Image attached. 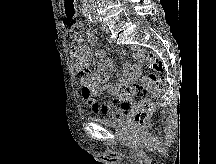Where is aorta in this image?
Instances as JSON below:
<instances>
[{
    "label": "aorta",
    "instance_id": "aorta-1",
    "mask_svg": "<svg viewBox=\"0 0 216 164\" xmlns=\"http://www.w3.org/2000/svg\"><path fill=\"white\" fill-rule=\"evenodd\" d=\"M86 7L90 16L95 17L97 14V1L98 0H85Z\"/></svg>",
    "mask_w": 216,
    "mask_h": 164
}]
</instances>
